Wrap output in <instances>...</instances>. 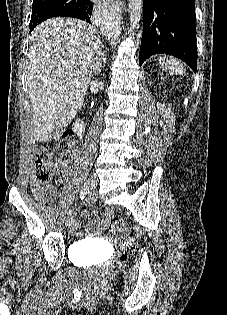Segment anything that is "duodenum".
<instances>
[{"mask_svg":"<svg viewBox=\"0 0 227 315\" xmlns=\"http://www.w3.org/2000/svg\"><path fill=\"white\" fill-rule=\"evenodd\" d=\"M76 130L78 132V134L81 136L84 132V124L81 120H79L76 124Z\"/></svg>","mask_w":227,"mask_h":315,"instance_id":"duodenum-1","label":"duodenum"}]
</instances>
